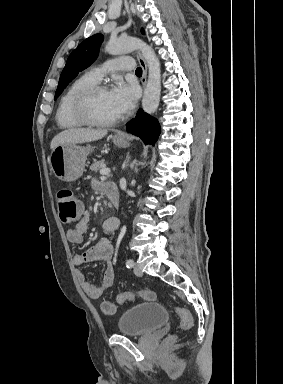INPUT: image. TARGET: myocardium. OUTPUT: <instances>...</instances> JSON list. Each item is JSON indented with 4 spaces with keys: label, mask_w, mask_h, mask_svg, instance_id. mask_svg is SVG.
Wrapping results in <instances>:
<instances>
[{
    "label": "myocardium",
    "mask_w": 283,
    "mask_h": 384,
    "mask_svg": "<svg viewBox=\"0 0 283 384\" xmlns=\"http://www.w3.org/2000/svg\"><path fill=\"white\" fill-rule=\"evenodd\" d=\"M106 89L108 88L104 84H94L85 88L76 96L71 106V116L76 123L80 126L90 128H110L121 120V117L119 116L110 121H98L90 117L87 113V107L94 95L97 92Z\"/></svg>",
    "instance_id": "1"
}]
</instances>
